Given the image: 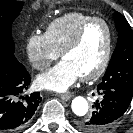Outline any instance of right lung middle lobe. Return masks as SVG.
Returning a JSON list of instances; mask_svg holds the SVG:
<instances>
[{"mask_svg":"<svg viewBox=\"0 0 133 133\" xmlns=\"http://www.w3.org/2000/svg\"><path fill=\"white\" fill-rule=\"evenodd\" d=\"M22 7L21 1L0 0V71L9 70L19 64L14 55L11 26Z\"/></svg>","mask_w":133,"mask_h":133,"instance_id":"right-lung-middle-lobe-1","label":"right lung middle lobe"}]
</instances>
